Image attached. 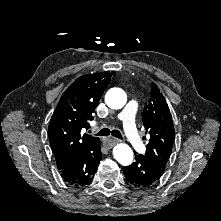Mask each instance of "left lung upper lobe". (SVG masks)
Instances as JSON below:
<instances>
[{"label":"left lung upper lobe","mask_w":221,"mask_h":221,"mask_svg":"<svg viewBox=\"0 0 221 221\" xmlns=\"http://www.w3.org/2000/svg\"><path fill=\"white\" fill-rule=\"evenodd\" d=\"M150 98L142 112V120L150 140L145 157L165 169L174 143V126L169 107L163 94L152 83Z\"/></svg>","instance_id":"obj_1"}]
</instances>
